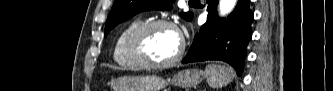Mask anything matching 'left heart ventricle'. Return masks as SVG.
<instances>
[{"instance_id": "b2bd125f", "label": "left heart ventricle", "mask_w": 333, "mask_h": 91, "mask_svg": "<svg viewBox=\"0 0 333 91\" xmlns=\"http://www.w3.org/2000/svg\"><path fill=\"white\" fill-rule=\"evenodd\" d=\"M180 43V36L175 30L160 27L144 38V52L152 62L168 61L176 55Z\"/></svg>"}]
</instances>
